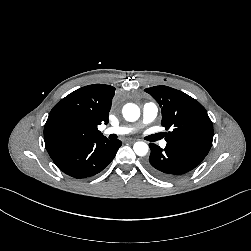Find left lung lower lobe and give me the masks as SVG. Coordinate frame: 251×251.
Masks as SVG:
<instances>
[{"instance_id": "1", "label": "left lung lower lobe", "mask_w": 251, "mask_h": 251, "mask_svg": "<svg viewBox=\"0 0 251 251\" xmlns=\"http://www.w3.org/2000/svg\"><path fill=\"white\" fill-rule=\"evenodd\" d=\"M151 154L146 162L147 170L159 179L172 181L198 166L205 154L179 145L167 144L165 149L149 144Z\"/></svg>"}]
</instances>
